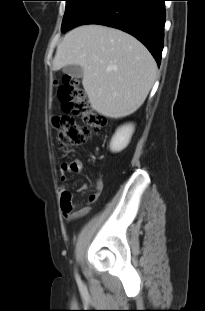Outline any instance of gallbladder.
Returning a JSON list of instances; mask_svg holds the SVG:
<instances>
[{
	"label": "gallbladder",
	"instance_id": "obj_1",
	"mask_svg": "<svg viewBox=\"0 0 205 311\" xmlns=\"http://www.w3.org/2000/svg\"><path fill=\"white\" fill-rule=\"evenodd\" d=\"M62 71L72 78H81L83 76V68L80 65H68Z\"/></svg>",
	"mask_w": 205,
	"mask_h": 311
}]
</instances>
